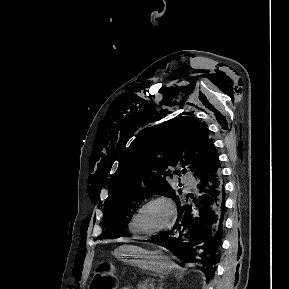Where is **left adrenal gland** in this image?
<instances>
[{
  "label": "left adrenal gland",
  "instance_id": "a2214340",
  "mask_svg": "<svg viewBox=\"0 0 289 289\" xmlns=\"http://www.w3.org/2000/svg\"><path fill=\"white\" fill-rule=\"evenodd\" d=\"M158 289H163V283H160Z\"/></svg>",
  "mask_w": 289,
  "mask_h": 289
}]
</instances>
